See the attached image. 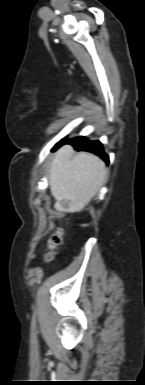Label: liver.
<instances>
[{"mask_svg":"<svg viewBox=\"0 0 145 385\" xmlns=\"http://www.w3.org/2000/svg\"><path fill=\"white\" fill-rule=\"evenodd\" d=\"M50 173V190L60 212H79L103 186L107 169L94 154L80 152L74 155L73 147L65 145L55 154Z\"/></svg>","mask_w":145,"mask_h":385,"instance_id":"6515ba94","label":"liver"}]
</instances>
